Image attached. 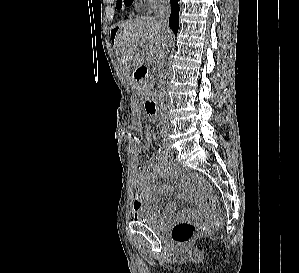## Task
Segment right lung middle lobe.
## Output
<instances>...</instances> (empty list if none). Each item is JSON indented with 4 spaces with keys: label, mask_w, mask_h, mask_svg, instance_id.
Masks as SVG:
<instances>
[{
    "label": "right lung middle lobe",
    "mask_w": 299,
    "mask_h": 273,
    "mask_svg": "<svg viewBox=\"0 0 299 273\" xmlns=\"http://www.w3.org/2000/svg\"><path fill=\"white\" fill-rule=\"evenodd\" d=\"M133 0H117V4H116V8L120 9L122 7V2L126 5V6H130L132 4Z\"/></svg>",
    "instance_id": "dd1d6c3e"
}]
</instances>
